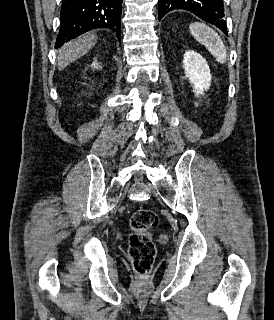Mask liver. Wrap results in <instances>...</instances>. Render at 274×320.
<instances>
[{
    "label": "liver",
    "instance_id": "6515ba94",
    "mask_svg": "<svg viewBox=\"0 0 274 320\" xmlns=\"http://www.w3.org/2000/svg\"><path fill=\"white\" fill-rule=\"evenodd\" d=\"M96 40L97 36L94 32H86V34L79 36L76 40H71V42L64 44L58 52L59 70H64V68L69 66V64H72V62L79 60L81 56H85L88 50H91V48L95 46Z\"/></svg>",
    "mask_w": 274,
    "mask_h": 320
}]
</instances>
